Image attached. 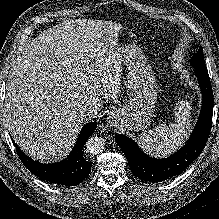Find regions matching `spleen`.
I'll return each instance as SVG.
<instances>
[{
	"instance_id": "1",
	"label": "spleen",
	"mask_w": 219,
	"mask_h": 219,
	"mask_svg": "<svg viewBox=\"0 0 219 219\" xmlns=\"http://www.w3.org/2000/svg\"><path fill=\"white\" fill-rule=\"evenodd\" d=\"M191 106L186 101H179L175 107L174 122L160 124L153 130L141 133L137 142L149 155L166 156L182 146L191 127Z\"/></svg>"
}]
</instances>
